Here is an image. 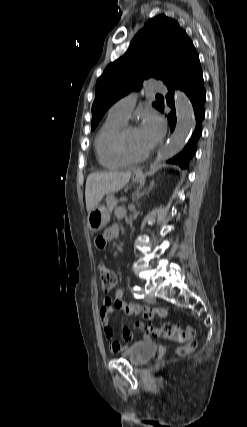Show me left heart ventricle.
I'll use <instances>...</instances> for the list:
<instances>
[{"instance_id": "1", "label": "left heart ventricle", "mask_w": 247, "mask_h": 427, "mask_svg": "<svg viewBox=\"0 0 247 427\" xmlns=\"http://www.w3.org/2000/svg\"><path fill=\"white\" fill-rule=\"evenodd\" d=\"M126 144L128 151L134 156L141 155L149 149L137 128H132L127 132Z\"/></svg>"}]
</instances>
